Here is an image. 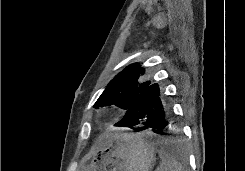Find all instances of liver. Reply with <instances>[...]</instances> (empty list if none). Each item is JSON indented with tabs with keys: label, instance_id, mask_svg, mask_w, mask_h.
Here are the masks:
<instances>
[{
	"label": "liver",
	"instance_id": "obj_1",
	"mask_svg": "<svg viewBox=\"0 0 245 171\" xmlns=\"http://www.w3.org/2000/svg\"><path fill=\"white\" fill-rule=\"evenodd\" d=\"M106 136H107V135H106ZM106 136H102V137L100 138V140H99V143H101L102 140H103Z\"/></svg>",
	"mask_w": 245,
	"mask_h": 171
}]
</instances>
